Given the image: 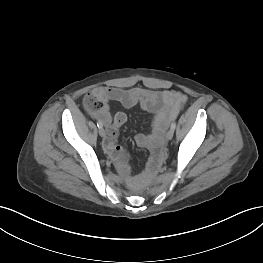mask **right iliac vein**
<instances>
[{
    "label": "right iliac vein",
    "mask_w": 263,
    "mask_h": 263,
    "mask_svg": "<svg viewBox=\"0 0 263 263\" xmlns=\"http://www.w3.org/2000/svg\"><path fill=\"white\" fill-rule=\"evenodd\" d=\"M99 135H100L101 137H105L106 132H105V130H104L103 128H100V129H99Z\"/></svg>",
    "instance_id": "right-iliac-vein-1"
}]
</instances>
